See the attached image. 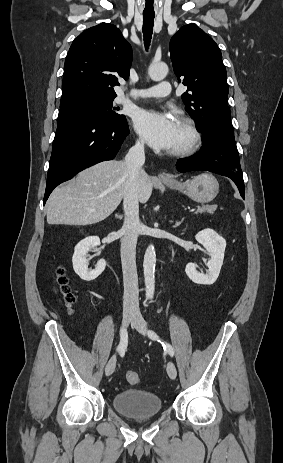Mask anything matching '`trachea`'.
<instances>
[{
	"instance_id": "3493384b",
	"label": "trachea",
	"mask_w": 283,
	"mask_h": 463,
	"mask_svg": "<svg viewBox=\"0 0 283 463\" xmlns=\"http://www.w3.org/2000/svg\"><path fill=\"white\" fill-rule=\"evenodd\" d=\"M154 17V15H143V36L146 49L149 48L152 39Z\"/></svg>"
}]
</instances>
